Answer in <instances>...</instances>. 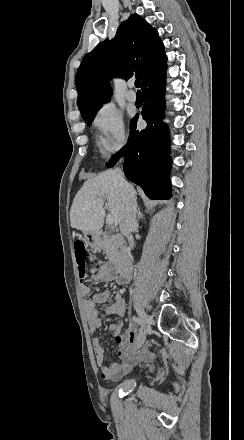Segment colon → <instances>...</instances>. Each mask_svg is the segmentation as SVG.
I'll return each mask as SVG.
<instances>
[{
  "label": "colon",
  "mask_w": 244,
  "mask_h": 440,
  "mask_svg": "<svg viewBox=\"0 0 244 440\" xmlns=\"http://www.w3.org/2000/svg\"><path fill=\"white\" fill-rule=\"evenodd\" d=\"M74 254L76 257L78 275L81 281H86L93 270L98 271L100 261L96 256L89 254L85 245L81 241L74 243Z\"/></svg>",
  "instance_id": "colon-1"
}]
</instances>
